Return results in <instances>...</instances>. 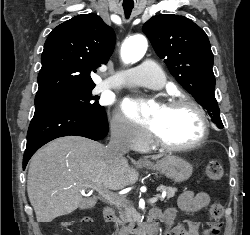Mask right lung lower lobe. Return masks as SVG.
Segmentation results:
<instances>
[{
	"label": "right lung lower lobe",
	"mask_w": 250,
	"mask_h": 235,
	"mask_svg": "<svg viewBox=\"0 0 250 235\" xmlns=\"http://www.w3.org/2000/svg\"><path fill=\"white\" fill-rule=\"evenodd\" d=\"M107 133L108 122L105 111L91 112L67 105L43 103L35 105V113L27 133L23 169L41 146L55 138L77 135L100 140Z\"/></svg>",
	"instance_id": "right-lung-lower-lobe-1"
}]
</instances>
